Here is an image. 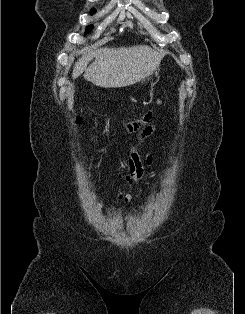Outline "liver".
<instances>
[{
    "instance_id": "liver-1",
    "label": "liver",
    "mask_w": 245,
    "mask_h": 314,
    "mask_svg": "<svg viewBox=\"0 0 245 314\" xmlns=\"http://www.w3.org/2000/svg\"><path fill=\"white\" fill-rule=\"evenodd\" d=\"M161 59L162 54L147 45L103 47L80 58L73 67L72 77L77 78L84 72L85 80L94 85L124 87L152 75Z\"/></svg>"
}]
</instances>
